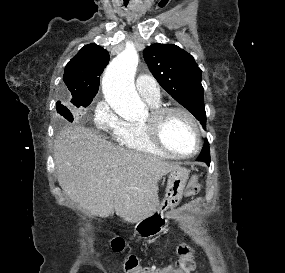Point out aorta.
<instances>
[{"instance_id": "aorta-1", "label": "aorta", "mask_w": 285, "mask_h": 273, "mask_svg": "<svg viewBox=\"0 0 285 273\" xmlns=\"http://www.w3.org/2000/svg\"><path fill=\"white\" fill-rule=\"evenodd\" d=\"M138 62L135 48L127 47L107 66L102 79L106 101L115 112L128 119H139L147 114V107L134 86Z\"/></svg>"}]
</instances>
